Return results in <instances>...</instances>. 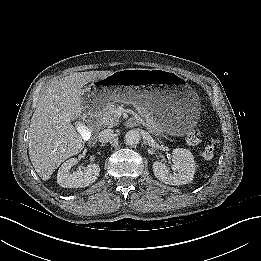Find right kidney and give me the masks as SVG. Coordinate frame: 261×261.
Segmentation results:
<instances>
[{"instance_id": "right-kidney-1", "label": "right kidney", "mask_w": 261, "mask_h": 261, "mask_svg": "<svg viewBox=\"0 0 261 261\" xmlns=\"http://www.w3.org/2000/svg\"><path fill=\"white\" fill-rule=\"evenodd\" d=\"M78 163L77 158L68 159L64 162L57 173V183L64 188H82L93 184L100 173L97 164H89L83 170L71 173V168Z\"/></svg>"}]
</instances>
